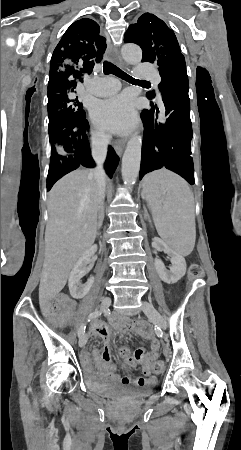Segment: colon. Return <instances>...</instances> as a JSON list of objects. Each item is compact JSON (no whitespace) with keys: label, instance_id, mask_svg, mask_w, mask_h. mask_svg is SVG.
<instances>
[{"label":"colon","instance_id":"5ec220e1","mask_svg":"<svg viewBox=\"0 0 241 450\" xmlns=\"http://www.w3.org/2000/svg\"><path fill=\"white\" fill-rule=\"evenodd\" d=\"M189 274L192 278H198L203 274V270L198 264H191ZM154 371L155 373H161L163 371V364L157 363L154 367Z\"/></svg>","mask_w":241,"mask_h":450}]
</instances>
